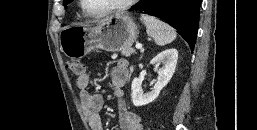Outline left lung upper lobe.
<instances>
[{
    "label": "left lung upper lobe",
    "instance_id": "obj_1",
    "mask_svg": "<svg viewBox=\"0 0 257 130\" xmlns=\"http://www.w3.org/2000/svg\"><path fill=\"white\" fill-rule=\"evenodd\" d=\"M140 1H141V0H140ZM69 2H70V0H63L64 6H66Z\"/></svg>",
    "mask_w": 257,
    "mask_h": 130
}]
</instances>
